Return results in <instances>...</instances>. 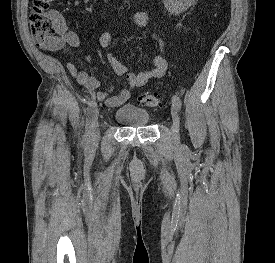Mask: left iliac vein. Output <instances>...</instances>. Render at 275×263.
Segmentation results:
<instances>
[{"instance_id": "4c4485c4", "label": "left iliac vein", "mask_w": 275, "mask_h": 263, "mask_svg": "<svg viewBox=\"0 0 275 263\" xmlns=\"http://www.w3.org/2000/svg\"><path fill=\"white\" fill-rule=\"evenodd\" d=\"M171 115L173 119V124H172L173 139L176 142L178 140L180 118H179L178 111L174 106L172 107Z\"/></svg>"}]
</instances>
